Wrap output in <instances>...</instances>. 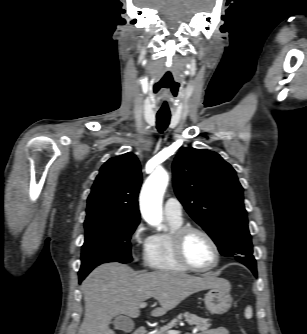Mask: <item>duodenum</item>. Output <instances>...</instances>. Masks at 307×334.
Masks as SVG:
<instances>
[{"label": "duodenum", "instance_id": "410a0bca", "mask_svg": "<svg viewBox=\"0 0 307 334\" xmlns=\"http://www.w3.org/2000/svg\"><path fill=\"white\" fill-rule=\"evenodd\" d=\"M134 334H147V329L144 326L138 327Z\"/></svg>", "mask_w": 307, "mask_h": 334}]
</instances>
